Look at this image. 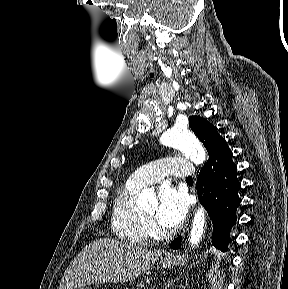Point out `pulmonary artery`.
Instances as JSON below:
<instances>
[{
  "label": "pulmonary artery",
  "instance_id": "e3ab8cb5",
  "mask_svg": "<svg viewBox=\"0 0 288 289\" xmlns=\"http://www.w3.org/2000/svg\"><path fill=\"white\" fill-rule=\"evenodd\" d=\"M193 173L194 167L188 160L167 156L138 168L129 176L128 182L144 187L159 182L168 175L186 178Z\"/></svg>",
  "mask_w": 288,
  "mask_h": 289
}]
</instances>
